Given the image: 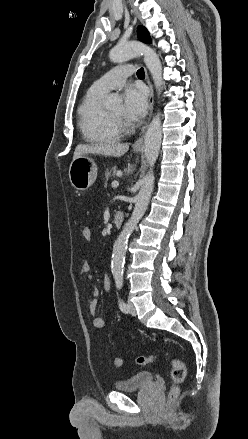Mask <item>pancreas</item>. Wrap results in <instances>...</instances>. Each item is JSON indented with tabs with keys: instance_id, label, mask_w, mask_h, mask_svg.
<instances>
[{
	"instance_id": "obj_1",
	"label": "pancreas",
	"mask_w": 248,
	"mask_h": 439,
	"mask_svg": "<svg viewBox=\"0 0 248 439\" xmlns=\"http://www.w3.org/2000/svg\"><path fill=\"white\" fill-rule=\"evenodd\" d=\"M118 170L115 167L106 170L104 180L107 182L110 177H116L118 174Z\"/></svg>"
}]
</instances>
